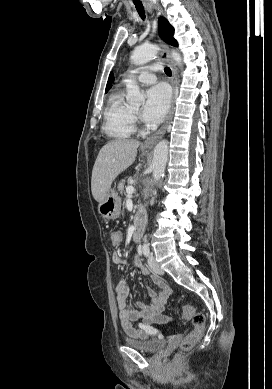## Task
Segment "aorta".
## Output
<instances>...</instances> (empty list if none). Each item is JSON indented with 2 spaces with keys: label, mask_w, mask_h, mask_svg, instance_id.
I'll return each mask as SVG.
<instances>
[{
  "label": "aorta",
  "mask_w": 272,
  "mask_h": 389,
  "mask_svg": "<svg viewBox=\"0 0 272 389\" xmlns=\"http://www.w3.org/2000/svg\"><path fill=\"white\" fill-rule=\"evenodd\" d=\"M159 46L155 44H145L139 47H136L131 55V61L135 65H143L150 60H152L159 51ZM171 55L176 63L181 66V56L178 52L172 51ZM127 102L132 105H140L144 102V94L140 91L138 85H130L127 90L126 96ZM168 159V141L161 140L154 148L153 153V179L157 183L164 175L165 167Z\"/></svg>",
  "instance_id": "aorta-1"
}]
</instances>
